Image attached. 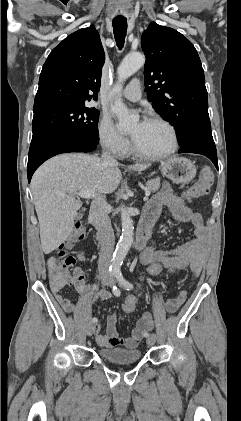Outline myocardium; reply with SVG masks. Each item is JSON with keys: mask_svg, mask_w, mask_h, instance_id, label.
I'll return each instance as SVG.
<instances>
[{"mask_svg": "<svg viewBox=\"0 0 241 421\" xmlns=\"http://www.w3.org/2000/svg\"><path fill=\"white\" fill-rule=\"evenodd\" d=\"M145 121L160 123L164 125L171 134V145L166 151L162 153L149 154L140 150L135 144L134 140L131 138V150L133 154H135L139 158L150 160V161L162 160L174 154L177 151L178 146H179V138H178V133L175 126L172 123H170L168 120L160 116H150V117H147Z\"/></svg>", "mask_w": 241, "mask_h": 421, "instance_id": "obj_1", "label": "myocardium"}]
</instances>
